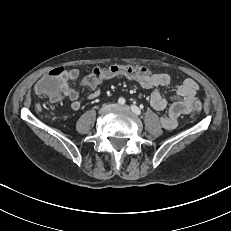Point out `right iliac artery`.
Listing matches in <instances>:
<instances>
[{
	"instance_id": "1",
	"label": "right iliac artery",
	"mask_w": 231,
	"mask_h": 231,
	"mask_svg": "<svg viewBox=\"0 0 231 231\" xmlns=\"http://www.w3.org/2000/svg\"><path fill=\"white\" fill-rule=\"evenodd\" d=\"M118 103L121 104V105L125 104V99L122 98V97L119 98V99H118Z\"/></svg>"
}]
</instances>
